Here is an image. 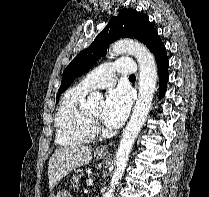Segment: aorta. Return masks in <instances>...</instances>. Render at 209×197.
<instances>
[{
    "mask_svg": "<svg viewBox=\"0 0 209 197\" xmlns=\"http://www.w3.org/2000/svg\"><path fill=\"white\" fill-rule=\"evenodd\" d=\"M123 53L133 55L139 64V94L132 116L123 131L116 152L115 170L110 182V188L104 197L114 196L115 186L125 171L135 139L149 114L157 83L155 59L146 46L134 40H119L112 45L108 55L114 57ZM101 98L102 96L99 92H92L88 96L87 106L97 105Z\"/></svg>",
    "mask_w": 209,
    "mask_h": 197,
    "instance_id": "obj_1",
    "label": "aorta"
}]
</instances>
